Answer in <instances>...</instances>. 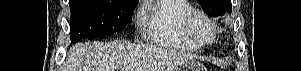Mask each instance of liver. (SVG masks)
Returning a JSON list of instances; mask_svg holds the SVG:
<instances>
[{
	"instance_id": "liver-1",
	"label": "liver",
	"mask_w": 301,
	"mask_h": 71,
	"mask_svg": "<svg viewBox=\"0 0 301 71\" xmlns=\"http://www.w3.org/2000/svg\"><path fill=\"white\" fill-rule=\"evenodd\" d=\"M188 59V55L121 40L78 43L70 51L67 71H173Z\"/></svg>"
}]
</instances>
